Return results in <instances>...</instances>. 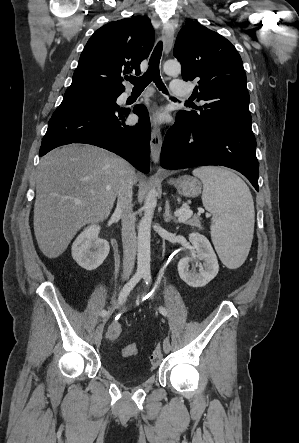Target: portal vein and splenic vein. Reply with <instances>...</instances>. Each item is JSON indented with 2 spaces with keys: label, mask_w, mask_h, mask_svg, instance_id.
I'll use <instances>...</instances> for the list:
<instances>
[{
  "label": "portal vein and splenic vein",
  "mask_w": 299,
  "mask_h": 443,
  "mask_svg": "<svg viewBox=\"0 0 299 443\" xmlns=\"http://www.w3.org/2000/svg\"><path fill=\"white\" fill-rule=\"evenodd\" d=\"M76 204H80V202H76ZM203 211H204L203 209H200L198 212V215H200ZM192 215H193V212L191 210H186L185 212L180 213L178 215V221L180 223H185L192 217Z\"/></svg>",
  "instance_id": "1"
}]
</instances>
